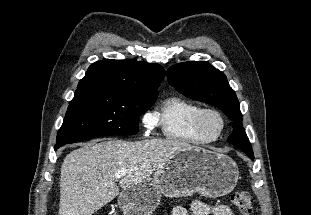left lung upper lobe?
I'll return each mask as SVG.
<instances>
[{"instance_id":"left-lung-upper-lobe-1","label":"left lung upper lobe","mask_w":311,"mask_h":215,"mask_svg":"<svg viewBox=\"0 0 311 215\" xmlns=\"http://www.w3.org/2000/svg\"><path fill=\"white\" fill-rule=\"evenodd\" d=\"M171 86L186 97L220 108L233 121V132L227 141L254 159L242 124L239 101L226 76L206 61H190L167 70Z\"/></svg>"}]
</instances>
